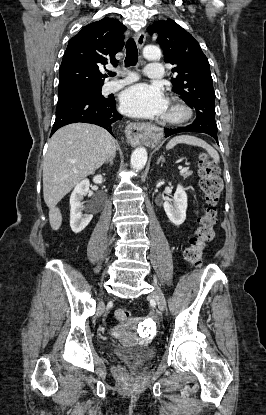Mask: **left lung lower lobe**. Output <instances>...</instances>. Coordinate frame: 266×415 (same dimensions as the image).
Listing matches in <instances>:
<instances>
[{
  "label": "left lung lower lobe",
  "instance_id": "1",
  "mask_svg": "<svg viewBox=\"0 0 266 415\" xmlns=\"http://www.w3.org/2000/svg\"><path fill=\"white\" fill-rule=\"evenodd\" d=\"M180 132H198V131H196L195 129L191 128L190 126H186V127H182V128H178V129H168V128H165V134H166L165 137H168V136H170L172 134L180 133ZM209 135H211L218 142L217 134L216 135L209 134Z\"/></svg>",
  "mask_w": 266,
  "mask_h": 415
}]
</instances>
